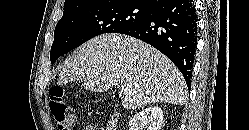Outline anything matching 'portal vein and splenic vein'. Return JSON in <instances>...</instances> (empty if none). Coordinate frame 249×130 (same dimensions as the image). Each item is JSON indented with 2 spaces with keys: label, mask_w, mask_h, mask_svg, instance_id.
Masks as SVG:
<instances>
[{
  "label": "portal vein and splenic vein",
  "mask_w": 249,
  "mask_h": 130,
  "mask_svg": "<svg viewBox=\"0 0 249 130\" xmlns=\"http://www.w3.org/2000/svg\"><path fill=\"white\" fill-rule=\"evenodd\" d=\"M121 92H127V88L125 86L121 87Z\"/></svg>",
  "instance_id": "1"
}]
</instances>
